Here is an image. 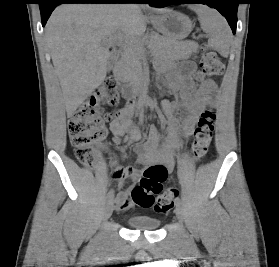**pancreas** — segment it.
<instances>
[{
	"instance_id": "1",
	"label": "pancreas",
	"mask_w": 279,
	"mask_h": 267,
	"mask_svg": "<svg viewBox=\"0 0 279 267\" xmlns=\"http://www.w3.org/2000/svg\"><path fill=\"white\" fill-rule=\"evenodd\" d=\"M144 43H147L148 47L159 57L171 60L189 58L198 49V44L195 42H178L157 33H151L144 40H135L124 45L119 64V73L124 80L137 81L142 76Z\"/></svg>"
}]
</instances>
